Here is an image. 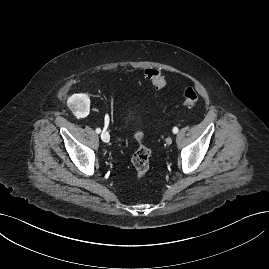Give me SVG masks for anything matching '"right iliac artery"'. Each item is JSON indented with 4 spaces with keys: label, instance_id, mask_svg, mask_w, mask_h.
<instances>
[{
    "label": "right iliac artery",
    "instance_id": "obj_1",
    "mask_svg": "<svg viewBox=\"0 0 269 269\" xmlns=\"http://www.w3.org/2000/svg\"><path fill=\"white\" fill-rule=\"evenodd\" d=\"M95 131H96V133H98V134H99V133L101 132V129H100V128H96V130H95Z\"/></svg>",
    "mask_w": 269,
    "mask_h": 269
}]
</instances>
